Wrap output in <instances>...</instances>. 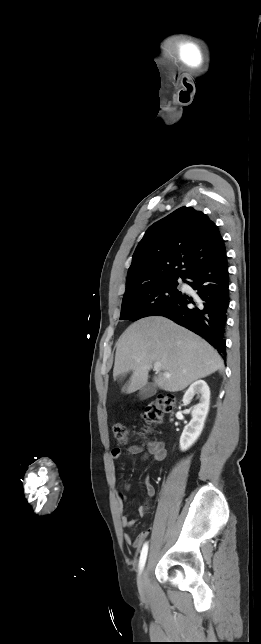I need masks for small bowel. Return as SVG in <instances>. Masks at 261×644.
<instances>
[{
    "label": "small bowel",
    "instance_id": "obj_1",
    "mask_svg": "<svg viewBox=\"0 0 261 644\" xmlns=\"http://www.w3.org/2000/svg\"><path fill=\"white\" fill-rule=\"evenodd\" d=\"M126 454L127 455L143 454V459L151 458L155 462H161L166 457V448L164 443L162 442H152L151 444H149L146 450L142 446L134 444L129 446L126 449ZM121 455H122V448L118 444L116 447L113 448L111 452V456H112V459L117 460L120 458ZM120 487L123 490H129L130 488L129 484L127 483H120ZM145 491L148 498H152L155 494V488L150 482H145ZM118 498H119L120 507L122 510L125 496L123 495L121 490L118 491ZM136 512L139 517L144 516L146 513V505L145 504L139 505L136 509ZM135 523H136V519H131L127 515L122 514L121 524L124 528H131L134 526ZM151 531H152V528L148 527L142 532H140L134 539L131 537L130 534L125 533L124 539L128 544H131L134 547H139L143 543V541L149 536Z\"/></svg>",
    "mask_w": 261,
    "mask_h": 644
}]
</instances>
